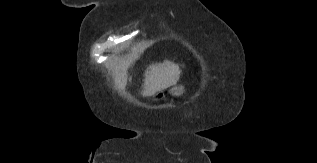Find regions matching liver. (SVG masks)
I'll return each mask as SVG.
<instances>
[{
	"mask_svg": "<svg viewBox=\"0 0 317 163\" xmlns=\"http://www.w3.org/2000/svg\"><path fill=\"white\" fill-rule=\"evenodd\" d=\"M181 70L178 64L169 60L162 63L151 64L145 71L142 95L154 96L156 93L167 89L177 83ZM114 84L117 89H124L127 84V69L121 66L115 73Z\"/></svg>",
	"mask_w": 317,
	"mask_h": 163,
	"instance_id": "1",
	"label": "liver"
}]
</instances>
